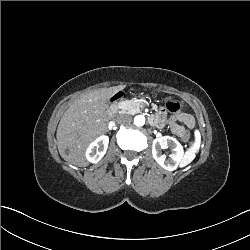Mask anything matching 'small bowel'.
<instances>
[{
  "label": "small bowel",
  "instance_id": "small-bowel-1",
  "mask_svg": "<svg viewBox=\"0 0 250 250\" xmlns=\"http://www.w3.org/2000/svg\"><path fill=\"white\" fill-rule=\"evenodd\" d=\"M182 114L184 115V114H186V113H182ZM177 118L180 120V118H179V117H177Z\"/></svg>",
  "mask_w": 250,
  "mask_h": 250
}]
</instances>
